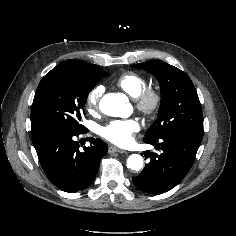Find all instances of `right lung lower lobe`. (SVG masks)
<instances>
[{"instance_id":"98d812e1","label":"right lung lower lobe","mask_w":236,"mask_h":236,"mask_svg":"<svg viewBox=\"0 0 236 236\" xmlns=\"http://www.w3.org/2000/svg\"><path fill=\"white\" fill-rule=\"evenodd\" d=\"M67 133L56 129L32 130L31 137L39 162L51 183L65 192L86 189L95 179L100 160L108 146L99 139H90L91 145L79 150L75 141L82 133Z\"/></svg>"}]
</instances>
